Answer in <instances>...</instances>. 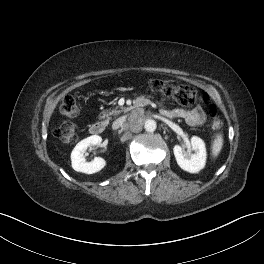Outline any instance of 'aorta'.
<instances>
[{
	"label": "aorta",
	"instance_id": "762f6f07",
	"mask_svg": "<svg viewBox=\"0 0 264 264\" xmlns=\"http://www.w3.org/2000/svg\"><path fill=\"white\" fill-rule=\"evenodd\" d=\"M144 128L147 132H154L157 128L156 121L153 119H148L144 123Z\"/></svg>",
	"mask_w": 264,
	"mask_h": 264
}]
</instances>
